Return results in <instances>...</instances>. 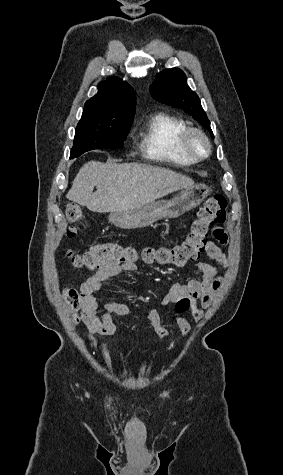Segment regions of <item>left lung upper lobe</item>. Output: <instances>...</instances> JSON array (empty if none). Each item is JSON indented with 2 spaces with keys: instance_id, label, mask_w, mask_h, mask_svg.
I'll return each mask as SVG.
<instances>
[{
  "instance_id": "1",
  "label": "left lung upper lobe",
  "mask_w": 283,
  "mask_h": 475,
  "mask_svg": "<svg viewBox=\"0 0 283 475\" xmlns=\"http://www.w3.org/2000/svg\"><path fill=\"white\" fill-rule=\"evenodd\" d=\"M186 76L178 68L167 69L157 74L151 86L152 97L161 103L183 109L193 116L204 128L210 129V121L204 112L198 95L193 92L186 83Z\"/></svg>"
}]
</instances>
